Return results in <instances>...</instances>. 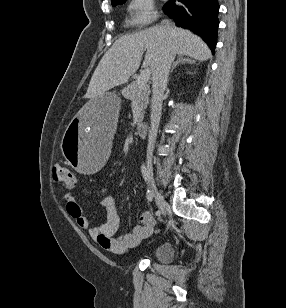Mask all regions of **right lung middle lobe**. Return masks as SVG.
I'll list each match as a JSON object with an SVG mask.
<instances>
[{"mask_svg": "<svg viewBox=\"0 0 286 308\" xmlns=\"http://www.w3.org/2000/svg\"><path fill=\"white\" fill-rule=\"evenodd\" d=\"M124 2H126V0H115V1L112 2V5H113V6L121 5V4H123Z\"/></svg>", "mask_w": 286, "mask_h": 308, "instance_id": "right-lung-middle-lobe-1", "label": "right lung middle lobe"}]
</instances>
